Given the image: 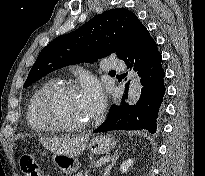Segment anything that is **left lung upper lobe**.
I'll return each mask as SVG.
<instances>
[{
  "mask_svg": "<svg viewBox=\"0 0 205 176\" xmlns=\"http://www.w3.org/2000/svg\"><path fill=\"white\" fill-rule=\"evenodd\" d=\"M141 26L137 16L124 8L95 15L77 30L56 37L42 49L24 87L68 65L96 62L111 53L121 58Z\"/></svg>",
  "mask_w": 205,
  "mask_h": 176,
  "instance_id": "left-lung-upper-lobe-1",
  "label": "left lung upper lobe"
}]
</instances>
